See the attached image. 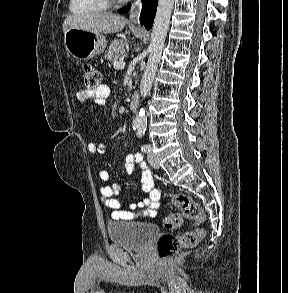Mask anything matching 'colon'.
I'll list each match as a JSON object with an SVG mask.
<instances>
[{"label":"colon","instance_id":"obj_1","mask_svg":"<svg viewBox=\"0 0 288 293\" xmlns=\"http://www.w3.org/2000/svg\"><path fill=\"white\" fill-rule=\"evenodd\" d=\"M84 84L87 90L95 91L102 85V74L93 65H85L83 70ZM170 204L180 209V212H170L163 218L165 229L172 230L181 227L184 219L197 222L204 220V214L199 204L189 195L179 193L172 196ZM204 229L197 227L181 235H162L158 240V254L161 260L172 258L180 249L192 248L204 236Z\"/></svg>","mask_w":288,"mask_h":293}]
</instances>
